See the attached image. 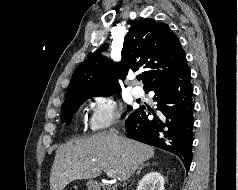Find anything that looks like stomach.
Returning <instances> with one entry per match:
<instances>
[{
  "label": "stomach",
  "instance_id": "0dacf381",
  "mask_svg": "<svg viewBox=\"0 0 238 190\" xmlns=\"http://www.w3.org/2000/svg\"><path fill=\"white\" fill-rule=\"evenodd\" d=\"M87 187L89 188V190H92L94 187H96V183L93 181H88Z\"/></svg>",
  "mask_w": 238,
  "mask_h": 190
}]
</instances>
